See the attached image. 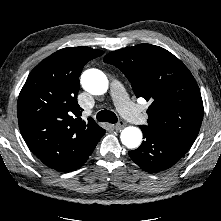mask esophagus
<instances>
[{
	"mask_svg": "<svg viewBox=\"0 0 221 221\" xmlns=\"http://www.w3.org/2000/svg\"><path fill=\"white\" fill-rule=\"evenodd\" d=\"M126 126V123L124 121H120L116 125H114L115 130H121Z\"/></svg>",
	"mask_w": 221,
	"mask_h": 221,
	"instance_id": "obj_1",
	"label": "esophagus"
}]
</instances>
